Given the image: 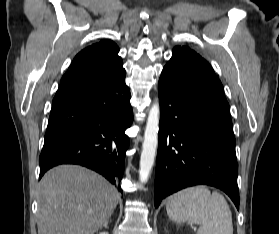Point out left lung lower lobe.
Wrapping results in <instances>:
<instances>
[{"label":"left lung lower lobe","instance_id":"0a47b994","mask_svg":"<svg viewBox=\"0 0 279 234\" xmlns=\"http://www.w3.org/2000/svg\"><path fill=\"white\" fill-rule=\"evenodd\" d=\"M155 207L166 196L206 184L223 190L239 210L238 164L229 104L210 64L175 47L163 68Z\"/></svg>","mask_w":279,"mask_h":234}]
</instances>
